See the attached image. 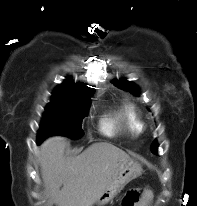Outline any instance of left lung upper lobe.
Wrapping results in <instances>:
<instances>
[{
	"instance_id": "obj_1",
	"label": "left lung upper lobe",
	"mask_w": 197,
	"mask_h": 206,
	"mask_svg": "<svg viewBox=\"0 0 197 206\" xmlns=\"http://www.w3.org/2000/svg\"><path fill=\"white\" fill-rule=\"evenodd\" d=\"M112 83H114L116 86L130 91L132 94L137 95V86L133 84L130 81H127L126 79H120V80H113ZM158 144L156 140L151 145V151L154 154H157Z\"/></svg>"
}]
</instances>
